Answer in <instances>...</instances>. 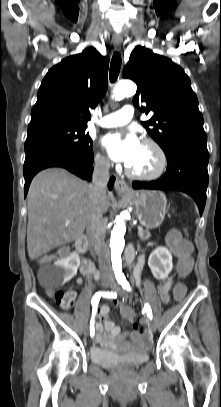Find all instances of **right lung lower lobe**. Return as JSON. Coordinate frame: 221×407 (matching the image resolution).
Wrapping results in <instances>:
<instances>
[{"label": "right lung lower lobe", "mask_w": 221, "mask_h": 407, "mask_svg": "<svg viewBox=\"0 0 221 407\" xmlns=\"http://www.w3.org/2000/svg\"><path fill=\"white\" fill-rule=\"evenodd\" d=\"M94 158L84 159L74 152L55 145H37L26 152L24 163V197H26L32 178L39 171L49 167H63L82 179H90ZM115 178L111 177L108 188L112 189Z\"/></svg>", "instance_id": "1"}]
</instances>
